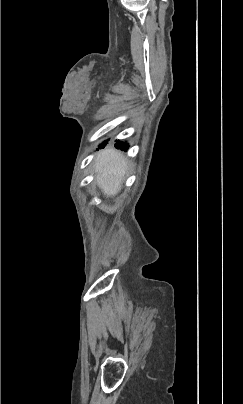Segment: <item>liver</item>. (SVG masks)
<instances>
[{"mask_svg": "<svg viewBox=\"0 0 243 404\" xmlns=\"http://www.w3.org/2000/svg\"><path fill=\"white\" fill-rule=\"evenodd\" d=\"M93 168L96 174L95 182L104 196H117L128 168L126 158L114 148H106L96 156Z\"/></svg>", "mask_w": 243, "mask_h": 404, "instance_id": "1", "label": "liver"}]
</instances>
